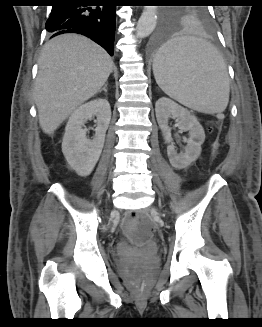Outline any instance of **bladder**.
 Listing matches in <instances>:
<instances>
[{
	"label": "bladder",
	"instance_id": "31cf9c89",
	"mask_svg": "<svg viewBox=\"0 0 262 327\" xmlns=\"http://www.w3.org/2000/svg\"><path fill=\"white\" fill-rule=\"evenodd\" d=\"M139 261V257L135 253H129L125 258L119 260V267L121 269L132 268Z\"/></svg>",
	"mask_w": 262,
	"mask_h": 327
}]
</instances>
